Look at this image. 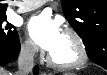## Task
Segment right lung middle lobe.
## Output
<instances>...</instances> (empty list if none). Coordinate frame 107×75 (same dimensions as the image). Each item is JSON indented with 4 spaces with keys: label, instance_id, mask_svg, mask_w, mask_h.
I'll use <instances>...</instances> for the list:
<instances>
[{
    "label": "right lung middle lobe",
    "instance_id": "right-lung-middle-lobe-1",
    "mask_svg": "<svg viewBox=\"0 0 107 75\" xmlns=\"http://www.w3.org/2000/svg\"><path fill=\"white\" fill-rule=\"evenodd\" d=\"M7 17L5 15L0 16V44L10 43L18 36L14 26L6 22Z\"/></svg>",
    "mask_w": 107,
    "mask_h": 75
}]
</instances>
